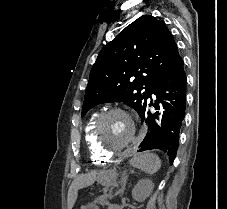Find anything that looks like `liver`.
<instances>
[{"label":"liver","mask_w":227,"mask_h":209,"mask_svg":"<svg viewBox=\"0 0 227 209\" xmlns=\"http://www.w3.org/2000/svg\"><path fill=\"white\" fill-rule=\"evenodd\" d=\"M93 173H87V175H80V177H78V179H75V181H73L72 185H70V189L68 191V209H72L75 201H76V197H77V191H73L77 181H79V179H91Z\"/></svg>","instance_id":"6515ba94"}]
</instances>
